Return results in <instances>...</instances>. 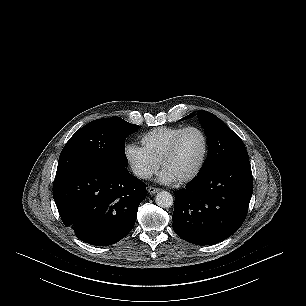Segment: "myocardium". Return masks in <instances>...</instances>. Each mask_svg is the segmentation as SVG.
<instances>
[{
    "label": "myocardium",
    "instance_id": "1",
    "mask_svg": "<svg viewBox=\"0 0 306 306\" xmlns=\"http://www.w3.org/2000/svg\"><path fill=\"white\" fill-rule=\"evenodd\" d=\"M190 130H195L198 133H200V135L203 138L204 141V150H203V154H202V158L198 164V166L196 167V169L189 174L188 176H185L181 179H178L177 182L178 183H188L191 182L192 180H194L195 178H197L199 176V174L202 172L205 163L207 161V157H208V153H209V139L207 137V134L205 133V131L198 127V126H187L184 127L177 135L176 137L173 139V141L171 142V144L169 145L167 151L165 152V154L163 155L161 161H160V165L162 167V169H164L165 164L173 157V155L175 154L178 145L182 139V137L184 136L185 133H187Z\"/></svg>",
    "mask_w": 306,
    "mask_h": 306
}]
</instances>
